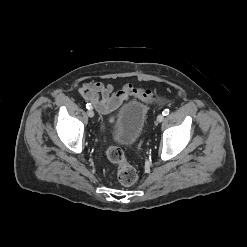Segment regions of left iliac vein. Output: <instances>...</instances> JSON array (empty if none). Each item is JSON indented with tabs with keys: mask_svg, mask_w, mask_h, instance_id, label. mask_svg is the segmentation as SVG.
Listing matches in <instances>:
<instances>
[{
	"mask_svg": "<svg viewBox=\"0 0 247 247\" xmlns=\"http://www.w3.org/2000/svg\"><path fill=\"white\" fill-rule=\"evenodd\" d=\"M164 120V116L162 115V114H159L158 116H157V121L160 123V122H162Z\"/></svg>",
	"mask_w": 247,
	"mask_h": 247,
	"instance_id": "obj_1",
	"label": "left iliac vein"
}]
</instances>
